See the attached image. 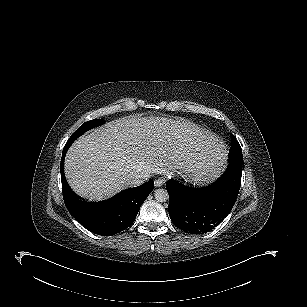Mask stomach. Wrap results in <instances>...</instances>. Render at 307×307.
Returning a JSON list of instances; mask_svg holds the SVG:
<instances>
[{
    "label": "stomach",
    "instance_id": "1",
    "mask_svg": "<svg viewBox=\"0 0 307 307\" xmlns=\"http://www.w3.org/2000/svg\"><path fill=\"white\" fill-rule=\"evenodd\" d=\"M215 176L216 174H214L213 172H203L202 174L195 176V181L198 184H203L214 179Z\"/></svg>",
    "mask_w": 307,
    "mask_h": 307
}]
</instances>
